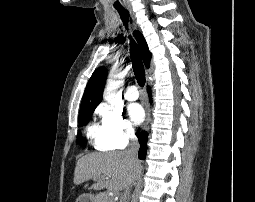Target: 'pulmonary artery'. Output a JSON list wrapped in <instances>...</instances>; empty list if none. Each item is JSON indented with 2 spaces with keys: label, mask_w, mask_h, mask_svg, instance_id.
<instances>
[{
  "label": "pulmonary artery",
  "mask_w": 255,
  "mask_h": 202,
  "mask_svg": "<svg viewBox=\"0 0 255 202\" xmlns=\"http://www.w3.org/2000/svg\"><path fill=\"white\" fill-rule=\"evenodd\" d=\"M139 93L135 85H130L125 90V98L127 100L133 101L138 99Z\"/></svg>",
  "instance_id": "1"
}]
</instances>
